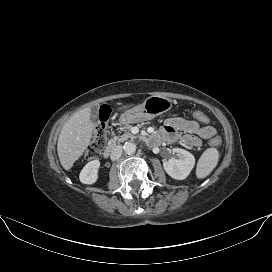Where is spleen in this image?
<instances>
[{
    "label": "spleen",
    "instance_id": "1",
    "mask_svg": "<svg viewBox=\"0 0 272 272\" xmlns=\"http://www.w3.org/2000/svg\"><path fill=\"white\" fill-rule=\"evenodd\" d=\"M219 160V153L216 148H208L199 158L196 168L197 178H205L216 167Z\"/></svg>",
    "mask_w": 272,
    "mask_h": 272
}]
</instances>
